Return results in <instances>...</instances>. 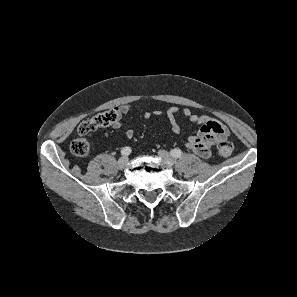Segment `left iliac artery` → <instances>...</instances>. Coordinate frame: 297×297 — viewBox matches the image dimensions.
Returning a JSON list of instances; mask_svg holds the SVG:
<instances>
[{
	"instance_id": "obj_1",
	"label": "left iliac artery",
	"mask_w": 297,
	"mask_h": 297,
	"mask_svg": "<svg viewBox=\"0 0 297 297\" xmlns=\"http://www.w3.org/2000/svg\"><path fill=\"white\" fill-rule=\"evenodd\" d=\"M182 151L180 149H173L171 150V155L174 157V158H180L182 156Z\"/></svg>"
}]
</instances>
